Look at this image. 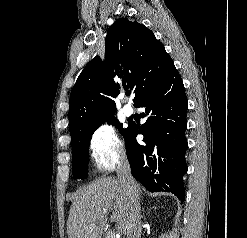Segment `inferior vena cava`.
Returning a JSON list of instances; mask_svg holds the SVG:
<instances>
[{
    "label": "inferior vena cava",
    "mask_w": 247,
    "mask_h": 238,
    "mask_svg": "<svg viewBox=\"0 0 247 238\" xmlns=\"http://www.w3.org/2000/svg\"><path fill=\"white\" fill-rule=\"evenodd\" d=\"M117 179L126 190L130 199V213L127 224V238L141 237V214L137 185L131 175V169L126 154L121 153L117 164Z\"/></svg>",
    "instance_id": "602c4592"
}]
</instances>
